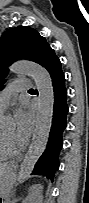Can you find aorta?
I'll use <instances>...</instances> for the list:
<instances>
[{
	"mask_svg": "<svg viewBox=\"0 0 89 203\" xmlns=\"http://www.w3.org/2000/svg\"><path fill=\"white\" fill-rule=\"evenodd\" d=\"M10 73L30 76L38 90V112L36 126L29 147L17 176V182H24L32 173L36 162L47 147L52 126L54 109V90L49 72L42 66L31 61H16L10 68Z\"/></svg>",
	"mask_w": 89,
	"mask_h": 203,
	"instance_id": "1",
	"label": "aorta"
}]
</instances>
